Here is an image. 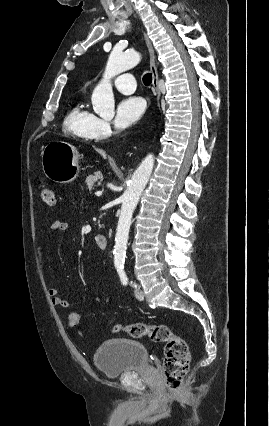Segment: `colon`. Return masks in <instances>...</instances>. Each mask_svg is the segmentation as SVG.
I'll list each match as a JSON object with an SVG mask.
<instances>
[{"label": "colon", "instance_id": "5ec220e1", "mask_svg": "<svg viewBox=\"0 0 269 426\" xmlns=\"http://www.w3.org/2000/svg\"><path fill=\"white\" fill-rule=\"evenodd\" d=\"M41 200L47 205L55 203L54 190L42 183ZM75 320L72 323H77ZM115 333H125L135 338L147 337L152 342L165 344L164 374L166 387L170 391H177L183 378L189 370L190 352L186 342L176 336L165 324L146 325L142 323H116L112 327Z\"/></svg>", "mask_w": 269, "mask_h": 426}]
</instances>
